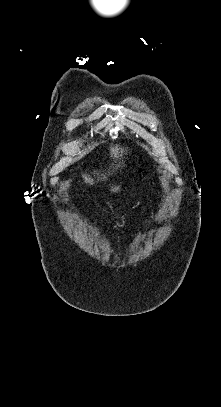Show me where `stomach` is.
<instances>
[{
  "label": "stomach",
  "mask_w": 221,
  "mask_h": 407,
  "mask_svg": "<svg viewBox=\"0 0 221 407\" xmlns=\"http://www.w3.org/2000/svg\"><path fill=\"white\" fill-rule=\"evenodd\" d=\"M121 187L120 186H111L110 191L111 192H120Z\"/></svg>",
  "instance_id": "stomach-1"
}]
</instances>
